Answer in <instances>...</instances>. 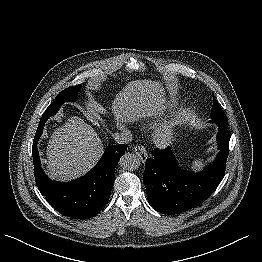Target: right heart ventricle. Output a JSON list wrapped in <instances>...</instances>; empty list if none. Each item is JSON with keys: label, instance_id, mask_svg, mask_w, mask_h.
Segmentation results:
<instances>
[{"label": "right heart ventricle", "instance_id": "obj_1", "mask_svg": "<svg viewBox=\"0 0 262 262\" xmlns=\"http://www.w3.org/2000/svg\"><path fill=\"white\" fill-rule=\"evenodd\" d=\"M178 103V100L175 97H171L169 98L166 102H165V108H170V107H174L176 106Z\"/></svg>", "mask_w": 262, "mask_h": 262}]
</instances>
